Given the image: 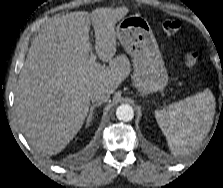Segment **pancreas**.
<instances>
[{
  "label": "pancreas",
  "instance_id": "pancreas-1",
  "mask_svg": "<svg viewBox=\"0 0 223 188\" xmlns=\"http://www.w3.org/2000/svg\"><path fill=\"white\" fill-rule=\"evenodd\" d=\"M118 61H125V62H127V58L124 57V56H122V57H119V58H118Z\"/></svg>",
  "mask_w": 223,
  "mask_h": 188
}]
</instances>
